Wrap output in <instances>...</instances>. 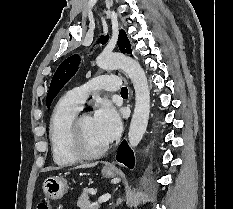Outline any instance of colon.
<instances>
[{
	"instance_id": "obj_1",
	"label": "colon",
	"mask_w": 233,
	"mask_h": 209,
	"mask_svg": "<svg viewBox=\"0 0 233 209\" xmlns=\"http://www.w3.org/2000/svg\"><path fill=\"white\" fill-rule=\"evenodd\" d=\"M37 209H50V207L46 202H41L38 204Z\"/></svg>"
}]
</instances>
